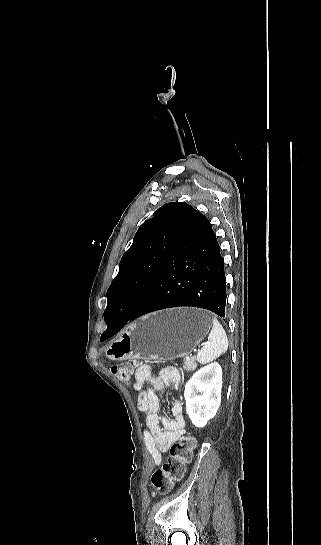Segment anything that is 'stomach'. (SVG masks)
<instances>
[{
    "label": "stomach",
    "mask_w": 321,
    "mask_h": 545,
    "mask_svg": "<svg viewBox=\"0 0 321 545\" xmlns=\"http://www.w3.org/2000/svg\"><path fill=\"white\" fill-rule=\"evenodd\" d=\"M210 313L194 307H176L140 317L112 341L108 357L126 359H177L189 355L211 329Z\"/></svg>",
    "instance_id": "obj_1"
}]
</instances>
